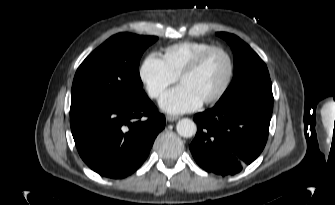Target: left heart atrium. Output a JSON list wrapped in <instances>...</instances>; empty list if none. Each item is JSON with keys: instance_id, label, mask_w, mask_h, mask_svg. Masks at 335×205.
<instances>
[{"instance_id": "39dd6f15", "label": "left heart atrium", "mask_w": 335, "mask_h": 205, "mask_svg": "<svg viewBox=\"0 0 335 205\" xmlns=\"http://www.w3.org/2000/svg\"><path fill=\"white\" fill-rule=\"evenodd\" d=\"M202 102L189 87L180 84L162 96L160 106L169 113L180 114L198 108Z\"/></svg>"}]
</instances>
